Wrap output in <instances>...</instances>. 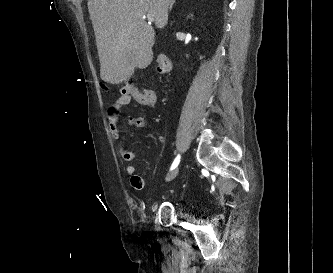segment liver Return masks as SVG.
I'll return each instance as SVG.
<instances>
[{"mask_svg": "<svg viewBox=\"0 0 333 273\" xmlns=\"http://www.w3.org/2000/svg\"><path fill=\"white\" fill-rule=\"evenodd\" d=\"M172 1L88 0L103 81L122 83L135 68L151 64L155 31L144 16L152 17L157 28H164Z\"/></svg>", "mask_w": 333, "mask_h": 273, "instance_id": "obj_1", "label": "liver"}]
</instances>
